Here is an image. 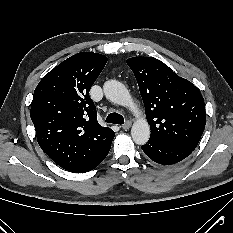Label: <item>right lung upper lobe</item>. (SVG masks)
<instances>
[{
	"label": "right lung upper lobe",
	"instance_id": "obj_1",
	"mask_svg": "<svg viewBox=\"0 0 233 233\" xmlns=\"http://www.w3.org/2000/svg\"><path fill=\"white\" fill-rule=\"evenodd\" d=\"M106 63L102 54L77 53L47 73L34 91L30 117L38 144L65 170L92 162L111 146L115 136L98 123L89 96Z\"/></svg>",
	"mask_w": 233,
	"mask_h": 233
}]
</instances>
